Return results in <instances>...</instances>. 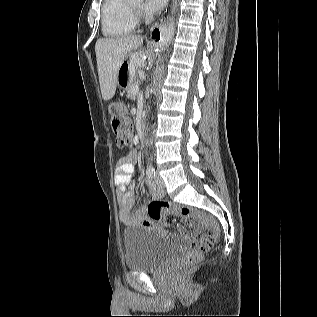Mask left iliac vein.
Segmentation results:
<instances>
[{"label": "left iliac vein", "mask_w": 317, "mask_h": 317, "mask_svg": "<svg viewBox=\"0 0 317 317\" xmlns=\"http://www.w3.org/2000/svg\"><path fill=\"white\" fill-rule=\"evenodd\" d=\"M156 184H157V186L160 187V188L164 187V181H163V179L161 178V176H159L158 174H157V176H156Z\"/></svg>", "instance_id": "left-iliac-vein-1"}]
</instances>
